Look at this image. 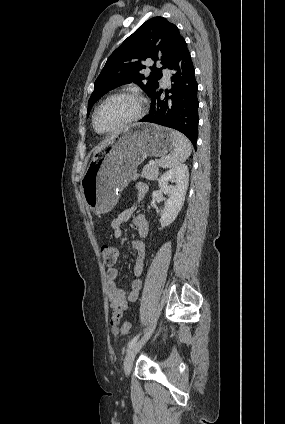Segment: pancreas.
<instances>
[{"label": "pancreas", "mask_w": 285, "mask_h": 424, "mask_svg": "<svg viewBox=\"0 0 285 424\" xmlns=\"http://www.w3.org/2000/svg\"><path fill=\"white\" fill-rule=\"evenodd\" d=\"M158 175H159L158 162H155L154 164L149 163L145 165L141 173V177L147 180H155L158 178Z\"/></svg>", "instance_id": "1"}]
</instances>
